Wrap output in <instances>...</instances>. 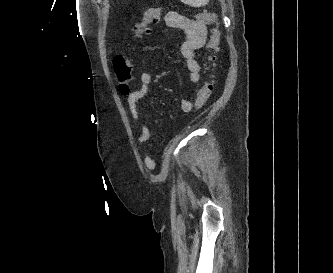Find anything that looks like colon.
<instances>
[{
    "instance_id": "obj_1",
    "label": "colon",
    "mask_w": 333,
    "mask_h": 273,
    "mask_svg": "<svg viewBox=\"0 0 333 273\" xmlns=\"http://www.w3.org/2000/svg\"><path fill=\"white\" fill-rule=\"evenodd\" d=\"M162 9L152 8L147 10L140 21L136 22L133 26V33L136 38H141L143 35L148 34L150 26L157 23L160 19ZM199 22L205 24H215L216 27L210 36L206 47L205 56L211 67L216 65V58L213 54V50L219 45L221 39L220 22L215 13H202L197 16ZM113 66L116 75V80L119 89L123 95H128L130 91V84L133 80V62L130 57L127 56H116L113 59ZM214 89V81L212 78L207 79L200 89L198 90L195 100L194 107L196 109L202 108L209 97L211 96Z\"/></svg>"
}]
</instances>
